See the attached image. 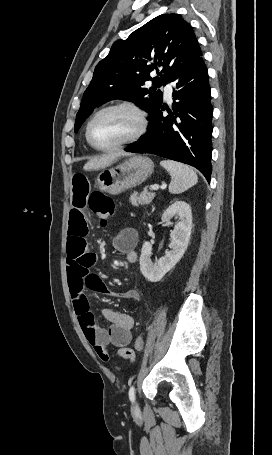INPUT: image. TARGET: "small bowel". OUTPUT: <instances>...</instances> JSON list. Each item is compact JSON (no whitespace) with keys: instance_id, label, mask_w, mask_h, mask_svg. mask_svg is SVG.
I'll use <instances>...</instances> for the list:
<instances>
[{"instance_id":"small-bowel-1","label":"small bowel","mask_w":272,"mask_h":455,"mask_svg":"<svg viewBox=\"0 0 272 455\" xmlns=\"http://www.w3.org/2000/svg\"><path fill=\"white\" fill-rule=\"evenodd\" d=\"M90 189V179L85 173L78 172L73 175L72 206L67 237V274L74 310L87 341L102 361H109L111 347H113L120 357L133 363L135 352L128 347L132 340L133 317L125 312L105 308L102 314L110 322V326L103 328L91 312L86 294L87 290H91L114 294L123 299L140 300V293L136 289L112 293L102 280L91 272L97 256L90 250L86 241L88 234L86 208ZM137 244L138 234L132 228L120 230L112 239V246L125 255L128 263L137 261Z\"/></svg>"}]
</instances>
